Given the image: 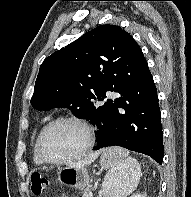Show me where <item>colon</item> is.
<instances>
[{
    "mask_svg": "<svg viewBox=\"0 0 191 197\" xmlns=\"http://www.w3.org/2000/svg\"><path fill=\"white\" fill-rule=\"evenodd\" d=\"M31 183L32 193L41 195L48 185V179L40 173H33L31 175Z\"/></svg>",
    "mask_w": 191,
    "mask_h": 197,
    "instance_id": "obj_1",
    "label": "colon"
}]
</instances>
